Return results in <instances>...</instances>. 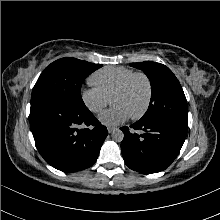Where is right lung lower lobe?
I'll use <instances>...</instances> for the list:
<instances>
[{"label":"right lung lower lobe","mask_w":220,"mask_h":220,"mask_svg":"<svg viewBox=\"0 0 220 220\" xmlns=\"http://www.w3.org/2000/svg\"><path fill=\"white\" fill-rule=\"evenodd\" d=\"M30 126L36 147L44 160L63 172L91 167L108 134L87 107L59 99H31ZM86 128L78 129L79 126Z\"/></svg>","instance_id":"1"}]
</instances>
